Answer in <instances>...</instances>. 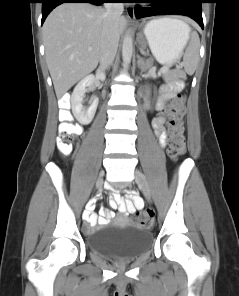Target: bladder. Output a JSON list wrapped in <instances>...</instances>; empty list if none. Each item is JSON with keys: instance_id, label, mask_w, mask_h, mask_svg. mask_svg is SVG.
<instances>
[{"instance_id": "bladder-1", "label": "bladder", "mask_w": 239, "mask_h": 296, "mask_svg": "<svg viewBox=\"0 0 239 296\" xmlns=\"http://www.w3.org/2000/svg\"><path fill=\"white\" fill-rule=\"evenodd\" d=\"M90 248L104 257L136 258L152 245V233L135 224L98 227L87 236Z\"/></svg>"}]
</instances>
